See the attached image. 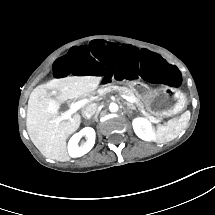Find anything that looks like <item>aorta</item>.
<instances>
[{"label":"aorta","mask_w":215,"mask_h":215,"mask_svg":"<svg viewBox=\"0 0 215 215\" xmlns=\"http://www.w3.org/2000/svg\"><path fill=\"white\" fill-rule=\"evenodd\" d=\"M108 109H109L110 112H117L119 107H118V105L116 103L111 102L108 105Z\"/></svg>","instance_id":"1"}]
</instances>
